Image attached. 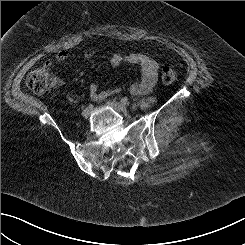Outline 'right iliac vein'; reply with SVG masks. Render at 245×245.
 Returning a JSON list of instances; mask_svg holds the SVG:
<instances>
[{
	"label": "right iliac vein",
	"instance_id": "63e3f726",
	"mask_svg": "<svg viewBox=\"0 0 245 245\" xmlns=\"http://www.w3.org/2000/svg\"><path fill=\"white\" fill-rule=\"evenodd\" d=\"M90 114H91V109L88 107L84 109L82 112V115L85 119H88L90 117Z\"/></svg>",
	"mask_w": 245,
	"mask_h": 245
}]
</instances>
